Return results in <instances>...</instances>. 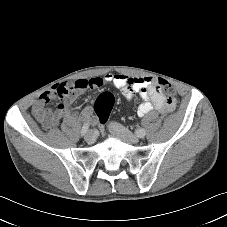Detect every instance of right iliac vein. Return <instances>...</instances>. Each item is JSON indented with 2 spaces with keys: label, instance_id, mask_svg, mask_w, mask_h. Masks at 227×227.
I'll return each mask as SVG.
<instances>
[{
  "label": "right iliac vein",
  "instance_id": "63e3f726",
  "mask_svg": "<svg viewBox=\"0 0 227 227\" xmlns=\"http://www.w3.org/2000/svg\"><path fill=\"white\" fill-rule=\"evenodd\" d=\"M84 138L87 143H93L95 141V135L92 131H88Z\"/></svg>",
  "mask_w": 227,
  "mask_h": 227
}]
</instances>
